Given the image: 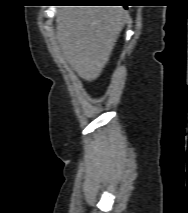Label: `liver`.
Segmentation results:
<instances>
[{"label":"liver","mask_w":188,"mask_h":213,"mask_svg":"<svg viewBox=\"0 0 188 213\" xmlns=\"http://www.w3.org/2000/svg\"><path fill=\"white\" fill-rule=\"evenodd\" d=\"M128 19L122 6H65L58 11L59 48L82 79L100 76Z\"/></svg>","instance_id":"6515ba94"}]
</instances>
